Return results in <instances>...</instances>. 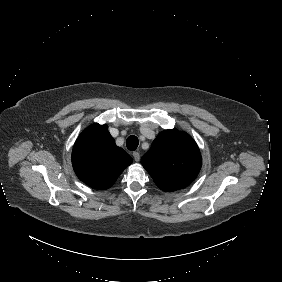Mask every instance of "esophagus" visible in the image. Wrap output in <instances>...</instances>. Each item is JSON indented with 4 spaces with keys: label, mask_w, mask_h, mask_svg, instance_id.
<instances>
[{
    "label": "esophagus",
    "mask_w": 282,
    "mask_h": 282,
    "mask_svg": "<svg viewBox=\"0 0 282 282\" xmlns=\"http://www.w3.org/2000/svg\"><path fill=\"white\" fill-rule=\"evenodd\" d=\"M133 157H134V160H135L136 162H138V161L140 160V154H139V152H137V151L133 152Z\"/></svg>",
    "instance_id": "obj_1"
}]
</instances>
